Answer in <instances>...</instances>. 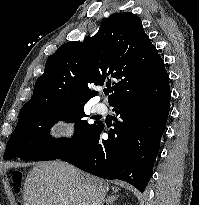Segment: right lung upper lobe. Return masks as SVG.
Here are the masks:
<instances>
[{"label":"right lung upper lobe","instance_id":"right-lung-upper-lobe-1","mask_svg":"<svg viewBox=\"0 0 199 205\" xmlns=\"http://www.w3.org/2000/svg\"><path fill=\"white\" fill-rule=\"evenodd\" d=\"M164 71V61L140 19L131 12L114 13L101 23L94 36L65 43L47 59L26 104H86L98 93L91 90L94 85H109L115 79L110 104L130 91L139 79Z\"/></svg>","mask_w":199,"mask_h":205}]
</instances>
